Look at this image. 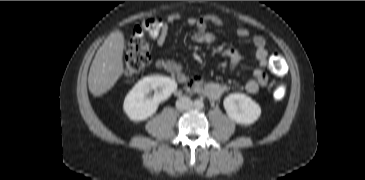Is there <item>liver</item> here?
I'll use <instances>...</instances> for the list:
<instances>
[{
    "label": "liver",
    "mask_w": 365,
    "mask_h": 180,
    "mask_svg": "<svg viewBox=\"0 0 365 180\" xmlns=\"http://www.w3.org/2000/svg\"><path fill=\"white\" fill-rule=\"evenodd\" d=\"M124 45L123 33L115 31L98 49L88 76V87L94 96H101L108 92L122 76Z\"/></svg>",
    "instance_id": "1"
}]
</instances>
